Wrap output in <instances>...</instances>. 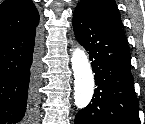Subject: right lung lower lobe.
Masks as SVG:
<instances>
[{
	"label": "right lung lower lobe",
	"mask_w": 145,
	"mask_h": 124,
	"mask_svg": "<svg viewBox=\"0 0 145 124\" xmlns=\"http://www.w3.org/2000/svg\"><path fill=\"white\" fill-rule=\"evenodd\" d=\"M40 53L36 28L0 36V124H23L35 116Z\"/></svg>",
	"instance_id": "98d812e1"
}]
</instances>
